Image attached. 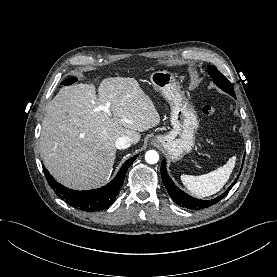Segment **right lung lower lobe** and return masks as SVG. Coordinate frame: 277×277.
<instances>
[{"instance_id":"1","label":"right lung lower lobe","mask_w":277,"mask_h":277,"mask_svg":"<svg viewBox=\"0 0 277 277\" xmlns=\"http://www.w3.org/2000/svg\"><path fill=\"white\" fill-rule=\"evenodd\" d=\"M136 158L137 155L125 162L113 181L106 186L89 191H74L68 189L56 182L45 167H43V171L49 185L55 191L56 195L77 209L91 212L106 209L112 204L123 184L128 167Z\"/></svg>"}]
</instances>
